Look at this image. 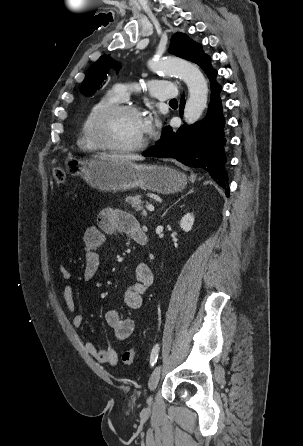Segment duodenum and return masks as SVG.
<instances>
[{"mask_svg":"<svg viewBox=\"0 0 303 446\" xmlns=\"http://www.w3.org/2000/svg\"><path fill=\"white\" fill-rule=\"evenodd\" d=\"M137 242H138L139 244H143V245L146 244V243H147V235H146L145 233L141 234V235L138 237Z\"/></svg>","mask_w":303,"mask_h":446,"instance_id":"obj_1","label":"duodenum"}]
</instances>
